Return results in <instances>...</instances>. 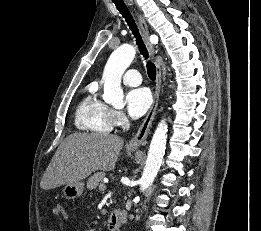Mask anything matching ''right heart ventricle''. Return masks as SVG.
<instances>
[{"instance_id": "e07e8e85", "label": "right heart ventricle", "mask_w": 261, "mask_h": 231, "mask_svg": "<svg viewBox=\"0 0 261 231\" xmlns=\"http://www.w3.org/2000/svg\"><path fill=\"white\" fill-rule=\"evenodd\" d=\"M75 125L87 132L109 133L113 129L112 110L99 99L96 91H90L79 103Z\"/></svg>"}]
</instances>
